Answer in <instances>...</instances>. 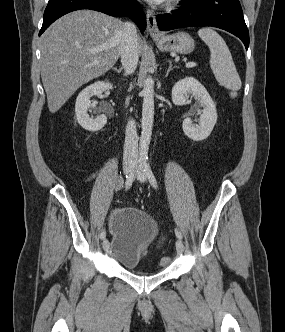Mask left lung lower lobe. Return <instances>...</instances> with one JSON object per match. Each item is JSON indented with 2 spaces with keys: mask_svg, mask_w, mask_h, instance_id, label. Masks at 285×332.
Returning <instances> with one entry per match:
<instances>
[{
  "mask_svg": "<svg viewBox=\"0 0 285 332\" xmlns=\"http://www.w3.org/2000/svg\"><path fill=\"white\" fill-rule=\"evenodd\" d=\"M181 5L171 14L156 17L161 30L213 26L239 37L248 49L249 32L239 0H183Z\"/></svg>",
  "mask_w": 285,
  "mask_h": 332,
  "instance_id": "0a47b994",
  "label": "left lung lower lobe"
}]
</instances>
